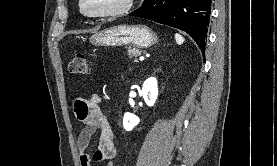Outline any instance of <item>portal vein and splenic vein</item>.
Masks as SVG:
<instances>
[{"label":"portal vein and splenic vein","instance_id":"obj_1","mask_svg":"<svg viewBox=\"0 0 277 166\" xmlns=\"http://www.w3.org/2000/svg\"><path fill=\"white\" fill-rule=\"evenodd\" d=\"M139 60H140V61H143V60H144V57H143V56H140V57H139Z\"/></svg>","mask_w":277,"mask_h":166}]
</instances>
